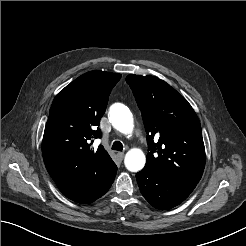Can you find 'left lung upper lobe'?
Instances as JSON below:
<instances>
[{
    "label": "left lung upper lobe",
    "instance_id": "5c2ea615",
    "mask_svg": "<svg viewBox=\"0 0 246 246\" xmlns=\"http://www.w3.org/2000/svg\"><path fill=\"white\" fill-rule=\"evenodd\" d=\"M147 132L149 152L144 170L198 183L205 167L199 119L191 105L165 81L128 75ZM154 136L159 137L157 143Z\"/></svg>",
    "mask_w": 246,
    "mask_h": 246
}]
</instances>
